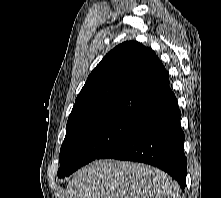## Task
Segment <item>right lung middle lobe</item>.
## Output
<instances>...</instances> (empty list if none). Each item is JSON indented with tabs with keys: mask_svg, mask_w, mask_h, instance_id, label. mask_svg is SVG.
Wrapping results in <instances>:
<instances>
[{
	"mask_svg": "<svg viewBox=\"0 0 221 198\" xmlns=\"http://www.w3.org/2000/svg\"><path fill=\"white\" fill-rule=\"evenodd\" d=\"M141 119L116 115L91 121L66 132L60 149L58 177L63 178L97 159L130 134Z\"/></svg>",
	"mask_w": 221,
	"mask_h": 198,
	"instance_id": "1",
	"label": "right lung middle lobe"
}]
</instances>
